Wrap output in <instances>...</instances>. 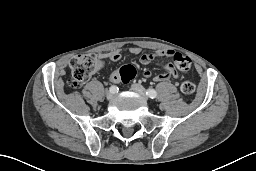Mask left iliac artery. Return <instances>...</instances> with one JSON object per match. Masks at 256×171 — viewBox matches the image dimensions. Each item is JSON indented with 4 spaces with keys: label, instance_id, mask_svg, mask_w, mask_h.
<instances>
[{
    "label": "left iliac artery",
    "instance_id": "left-iliac-artery-1",
    "mask_svg": "<svg viewBox=\"0 0 256 171\" xmlns=\"http://www.w3.org/2000/svg\"><path fill=\"white\" fill-rule=\"evenodd\" d=\"M146 95L150 97L151 99H154L157 97V92L154 89H148L146 91Z\"/></svg>",
    "mask_w": 256,
    "mask_h": 171
}]
</instances>
